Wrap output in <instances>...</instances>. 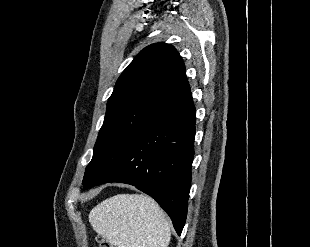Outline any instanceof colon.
Returning a JSON list of instances; mask_svg holds the SVG:
<instances>
[{"label": "colon", "instance_id": "5ec220e1", "mask_svg": "<svg viewBox=\"0 0 310 247\" xmlns=\"http://www.w3.org/2000/svg\"><path fill=\"white\" fill-rule=\"evenodd\" d=\"M97 243H98V247H113L109 241H107L105 238L103 237H98L97 239Z\"/></svg>", "mask_w": 310, "mask_h": 247}]
</instances>
